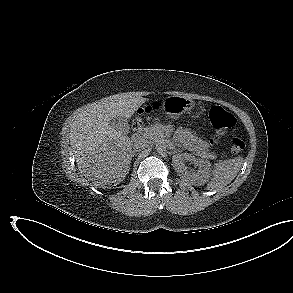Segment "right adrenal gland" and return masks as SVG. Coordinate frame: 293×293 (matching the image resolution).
<instances>
[{
  "mask_svg": "<svg viewBox=\"0 0 293 293\" xmlns=\"http://www.w3.org/2000/svg\"><path fill=\"white\" fill-rule=\"evenodd\" d=\"M135 153L132 154V157H134Z\"/></svg>",
  "mask_w": 293,
  "mask_h": 293,
  "instance_id": "right-adrenal-gland-1",
  "label": "right adrenal gland"
}]
</instances>
